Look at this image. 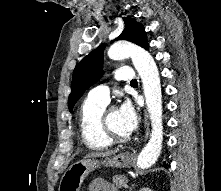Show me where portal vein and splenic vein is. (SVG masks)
<instances>
[{"label":"portal vein and splenic vein","instance_id":"obj_1","mask_svg":"<svg viewBox=\"0 0 221 191\" xmlns=\"http://www.w3.org/2000/svg\"><path fill=\"white\" fill-rule=\"evenodd\" d=\"M124 186H125V187H127L128 185H127V184H125Z\"/></svg>","mask_w":221,"mask_h":191}]
</instances>
